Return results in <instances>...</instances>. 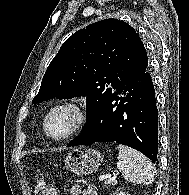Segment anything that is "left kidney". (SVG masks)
I'll list each match as a JSON object with an SVG mask.
<instances>
[{"mask_svg":"<svg viewBox=\"0 0 189 195\" xmlns=\"http://www.w3.org/2000/svg\"><path fill=\"white\" fill-rule=\"evenodd\" d=\"M114 195H130V194H128V193H125V192H117L116 194H114Z\"/></svg>","mask_w":189,"mask_h":195,"instance_id":"1","label":"left kidney"}]
</instances>
